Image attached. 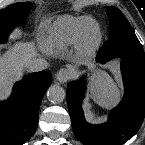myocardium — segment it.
Instances as JSON below:
<instances>
[{
	"instance_id": "1",
	"label": "myocardium",
	"mask_w": 145,
	"mask_h": 145,
	"mask_svg": "<svg viewBox=\"0 0 145 145\" xmlns=\"http://www.w3.org/2000/svg\"><path fill=\"white\" fill-rule=\"evenodd\" d=\"M101 37L102 36L99 27H94L89 30L81 43V55L83 57L92 55L100 44Z\"/></svg>"
}]
</instances>
